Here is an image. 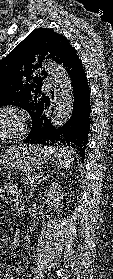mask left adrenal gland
Instances as JSON below:
<instances>
[{
    "instance_id": "left-adrenal-gland-1",
    "label": "left adrenal gland",
    "mask_w": 113,
    "mask_h": 279,
    "mask_svg": "<svg viewBox=\"0 0 113 279\" xmlns=\"http://www.w3.org/2000/svg\"><path fill=\"white\" fill-rule=\"evenodd\" d=\"M46 178H47V176L44 177L42 180H40L37 184H39L40 182H43Z\"/></svg>"
}]
</instances>
